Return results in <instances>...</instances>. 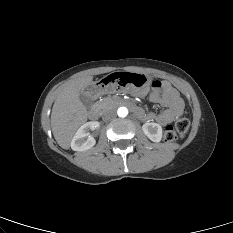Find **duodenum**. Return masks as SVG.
I'll use <instances>...</instances> for the list:
<instances>
[{
  "mask_svg": "<svg viewBox=\"0 0 233 233\" xmlns=\"http://www.w3.org/2000/svg\"><path fill=\"white\" fill-rule=\"evenodd\" d=\"M120 104L123 105V106H126L128 108H130L137 116H141L142 114V111L141 109H139L136 105H134L132 102L130 101H127V100H121L120 101ZM99 108L98 107H92L89 111V117L92 119V120H97L98 117H99Z\"/></svg>",
  "mask_w": 233,
  "mask_h": 233,
  "instance_id": "1",
  "label": "duodenum"
}]
</instances>
